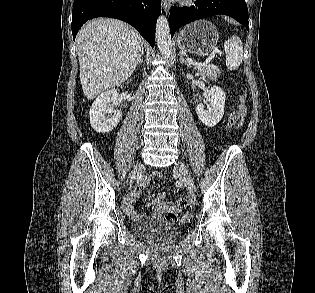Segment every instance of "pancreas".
Segmentation results:
<instances>
[{
    "label": "pancreas",
    "mask_w": 315,
    "mask_h": 293,
    "mask_svg": "<svg viewBox=\"0 0 315 293\" xmlns=\"http://www.w3.org/2000/svg\"><path fill=\"white\" fill-rule=\"evenodd\" d=\"M204 78L216 80L221 75V70L214 65H205L194 67Z\"/></svg>",
    "instance_id": "1"
}]
</instances>
